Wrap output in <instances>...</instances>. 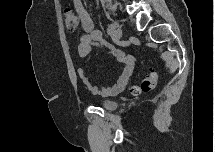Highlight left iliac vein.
Returning a JSON list of instances; mask_svg holds the SVG:
<instances>
[{
  "label": "left iliac vein",
  "instance_id": "obj_1",
  "mask_svg": "<svg viewBox=\"0 0 215 152\" xmlns=\"http://www.w3.org/2000/svg\"><path fill=\"white\" fill-rule=\"evenodd\" d=\"M113 38L118 41L122 38V29L121 28H116L114 30Z\"/></svg>",
  "mask_w": 215,
  "mask_h": 152
}]
</instances>
